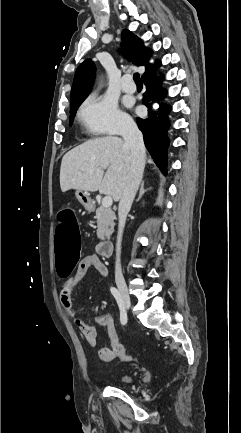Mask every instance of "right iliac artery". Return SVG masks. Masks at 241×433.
<instances>
[{
  "label": "right iliac artery",
  "instance_id": "obj_1",
  "mask_svg": "<svg viewBox=\"0 0 241 433\" xmlns=\"http://www.w3.org/2000/svg\"><path fill=\"white\" fill-rule=\"evenodd\" d=\"M110 291H111L112 295L114 296V298L116 299L118 306L120 308V321L122 324H125L127 322V314H126L125 308H124L123 303H122L121 295L115 287H111Z\"/></svg>",
  "mask_w": 241,
  "mask_h": 433
}]
</instances>
